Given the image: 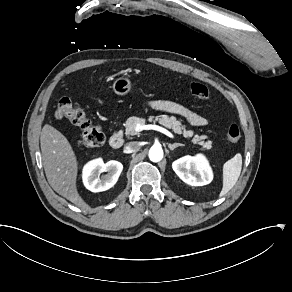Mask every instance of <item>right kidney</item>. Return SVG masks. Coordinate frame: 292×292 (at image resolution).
<instances>
[{
	"instance_id": "1",
	"label": "right kidney",
	"mask_w": 292,
	"mask_h": 292,
	"mask_svg": "<svg viewBox=\"0 0 292 292\" xmlns=\"http://www.w3.org/2000/svg\"><path fill=\"white\" fill-rule=\"evenodd\" d=\"M122 170V164L117 161L107 163L101 160L92 161L84 168V184L87 189L95 193L106 191L116 184ZM105 172L108 174H103Z\"/></svg>"
}]
</instances>
